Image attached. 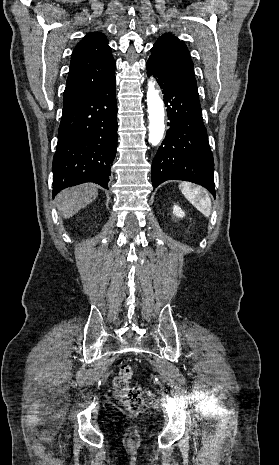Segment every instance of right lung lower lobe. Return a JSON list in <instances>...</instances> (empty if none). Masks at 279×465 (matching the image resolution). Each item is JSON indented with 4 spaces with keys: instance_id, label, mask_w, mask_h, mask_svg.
<instances>
[{
    "instance_id": "right-lung-lower-lobe-1",
    "label": "right lung lower lobe",
    "mask_w": 279,
    "mask_h": 465,
    "mask_svg": "<svg viewBox=\"0 0 279 465\" xmlns=\"http://www.w3.org/2000/svg\"><path fill=\"white\" fill-rule=\"evenodd\" d=\"M117 147L115 75L88 98L63 111L53 159V197L94 182L108 189Z\"/></svg>"
}]
</instances>
